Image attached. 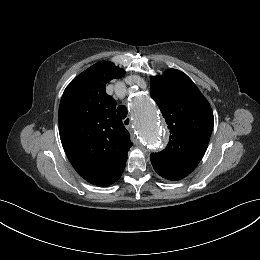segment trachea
Segmentation results:
<instances>
[{
  "mask_svg": "<svg viewBox=\"0 0 260 260\" xmlns=\"http://www.w3.org/2000/svg\"><path fill=\"white\" fill-rule=\"evenodd\" d=\"M117 114L121 119H125L128 114V110L124 105H119L117 108Z\"/></svg>",
  "mask_w": 260,
  "mask_h": 260,
  "instance_id": "obj_1",
  "label": "trachea"
}]
</instances>
